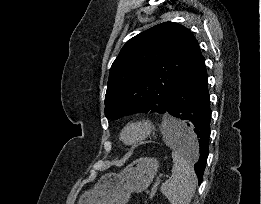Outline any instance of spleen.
<instances>
[{"label":"spleen","mask_w":261,"mask_h":204,"mask_svg":"<svg viewBox=\"0 0 261 204\" xmlns=\"http://www.w3.org/2000/svg\"><path fill=\"white\" fill-rule=\"evenodd\" d=\"M185 127H187L185 123L171 119L163 128L165 142L173 148H182L177 142V137ZM194 147L197 153V146ZM172 158L174 163L172 175L162 184L161 192L171 204H190L195 193L196 176L194 170L177 150L172 152Z\"/></svg>","instance_id":"obj_1"}]
</instances>
